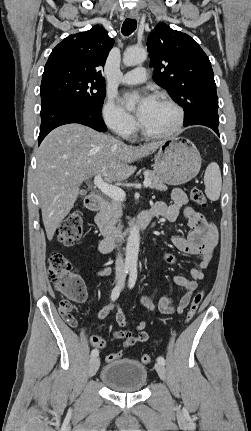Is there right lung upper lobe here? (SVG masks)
Instances as JSON below:
<instances>
[{
    "label": "right lung upper lobe",
    "mask_w": 251,
    "mask_h": 431,
    "mask_svg": "<svg viewBox=\"0 0 251 431\" xmlns=\"http://www.w3.org/2000/svg\"><path fill=\"white\" fill-rule=\"evenodd\" d=\"M114 45L108 32L99 25L65 38L51 52L45 69L68 67L104 82L101 68Z\"/></svg>",
    "instance_id": "cb5924a9"
}]
</instances>
